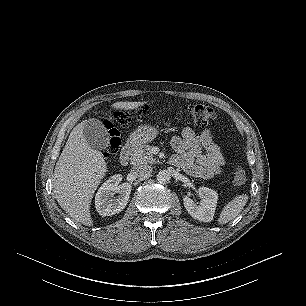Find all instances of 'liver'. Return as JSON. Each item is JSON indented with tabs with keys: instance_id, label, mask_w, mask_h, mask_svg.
<instances>
[{
	"instance_id": "6515ba94",
	"label": "liver",
	"mask_w": 306,
	"mask_h": 306,
	"mask_svg": "<svg viewBox=\"0 0 306 306\" xmlns=\"http://www.w3.org/2000/svg\"><path fill=\"white\" fill-rule=\"evenodd\" d=\"M146 102H117L113 109L133 110ZM84 122L71 131L56 163L53 192L61 208L75 221L93 225L90 213L91 200L107 165L100 151L93 149L83 134Z\"/></svg>"
}]
</instances>
